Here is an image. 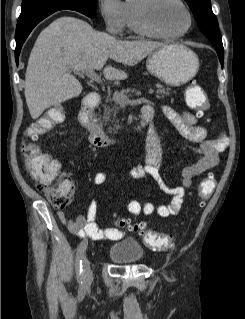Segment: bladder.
<instances>
[{"mask_svg": "<svg viewBox=\"0 0 245 319\" xmlns=\"http://www.w3.org/2000/svg\"><path fill=\"white\" fill-rule=\"evenodd\" d=\"M108 258L118 264H137L144 258L139 242L134 238H120L108 250Z\"/></svg>", "mask_w": 245, "mask_h": 319, "instance_id": "1", "label": "bladder"}]
</instances>
